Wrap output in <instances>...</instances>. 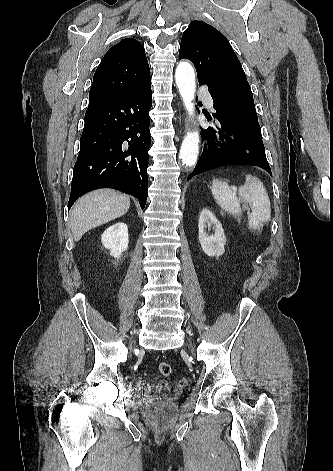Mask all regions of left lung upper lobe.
Listing matches in <instances>:
<instances>
[{
    "mask_svg": "<svg viewBox=\"0 0 333 471\" xmlns=\"http://www.w3.org/2000/svg\"><path fill=\"white\" fill-rule=\"evenodd\" d=\"M180 59L196 67L199 83L207 85L221 112L261 136L252 91L229 41L203 21H193L184 31Z\"/></svg>",
    "mask_w": 333,
    "mask_h": 471,
    "instance_id": "left-lung-upper-lobe-1",
    "label": "left lung upper lobe"
}]
</instances>
